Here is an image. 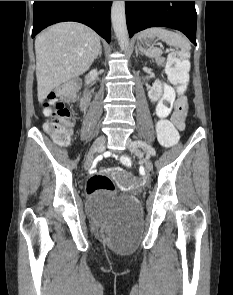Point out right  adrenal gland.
<instances>
[{"mask_svg": "<svg viewBox=\"0 0 233 295\" xmlns=\"http://www.w3.org/2000/svg\"><path fill=\"white\" fill-rule=\"evenodd\" d=\"M102 56V46L100 47V50H99V53H98V56L96 57V59L100 58Z\"/></svg>", "mask_w": 233, "mask_h": 295, "instance_id": "1", "label": "right adrenal gland"}]
</instances>
